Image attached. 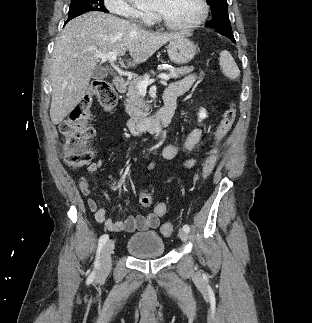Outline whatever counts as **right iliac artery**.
Instances as JSON below:
<instances>
[{
  "mask_svg": "<svg viewBox=\"0 0 312 323\" xmlns=\"http://www.w3.org/2000/svg\"><path fill=\"white\" fill-rule=\"evenodd\" d=\"M108 239H109V236L107 234L102 235L99 239L98 249H97V258L94 262L95 268L99 267V256H100V253L103 249V246L105 245V243L107 242Z\"/></svg>",
  "mask_w": 312,
  "mask_h": 323,
  "instance_id": "obj_1",
  "label": "right iliac artery"
}]
</instances>
